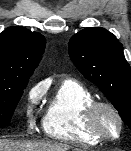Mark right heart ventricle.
<instances>
[{"mask_svg": "<svg viewBox=\"0 0 131 151\" xmlns=\"http://www.w3.org/2000/svg\"><path fill=\"white\" fill-rule=\"evenodd\" d=\"M93 94L74 79L63 80L48 100L43 117L47 136L64 142L96 145L102 140L90 133L84 112L94 101Z\"/></svg>", "mask_w": 131, "mask_h": 151, "instance_id": "right-heart-ventricle-1", "label": "right heart ventricle"}]
</instances>
